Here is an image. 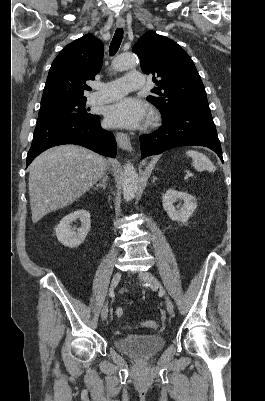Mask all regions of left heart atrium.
Wrapping results in <instances>:
<instances>
[{
	"label": "left heart atrium",
	"mask_w": 265,
	"mask_h": 401,
	"mask_svg": "<svg viewBox=\"0 0 265 401\" xmlns=\"http://www.w3.org/2000/svg\"><path fill=\"white\" fill-rule=\"evenodd\" d=\"M148 107L133 98H123L107 107L105 117L108 124L116 127H136L148 117Z\"/></svg>",
	"instance_id": "39dd6f15"
}]
</instances>
